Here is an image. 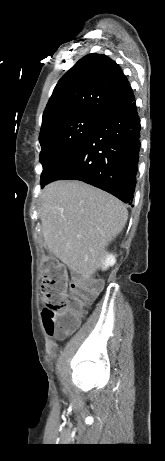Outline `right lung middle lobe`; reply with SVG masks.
Returning a JSON list of instances; mask_svg holds the SVG:
<instances>
[{
	"label": "right lung middle lobe",
	"instance_id": "obj_1",
	"mask_svg": "<svg viewBox=\"0 0 165 461\" xmlns=\"http://www.w3.org/2000/svg\"><path fill=\"white\" fill-rule=\"evenodd\" d=\"M102 119L79 116L57 120L40 133L41 186L60 165L86 140Z\"/></svg>",
	"mask_w": 165,
	"mask_h": 461
}]
</instances>
